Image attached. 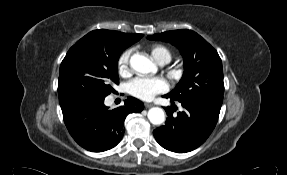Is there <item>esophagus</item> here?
<instances>
[{"label":"esophagus","instance_id":"34e87169","mask_svg":"<svg viewBox=\"0 0 287 175\" xmlns=\"http://www.w3.org/2000/svg\"><path fill=\"white\" fill-rule=\"evenodd\" d=\"M144 105H145V107H146V108H150V107H152V106H153V104H152V103H145Z\"/></svg>","mask_w":287,"mask_h":175}]
</instances>
